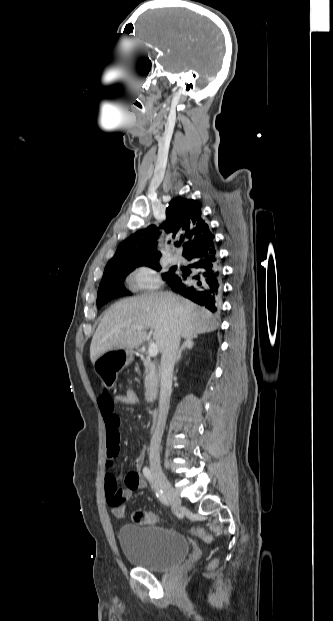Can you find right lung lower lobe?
<instances>
[{"label": "right lung lower lobe", "mask_w": 333, "mask_h": 621, "mask_svg": "<svg viewBox=\"0 0 333 621\" xmlns=\"http://www.w3.org/2000/svg\"><path fill=\"white\" fill-rule=\"evenodd\" d=\"M184 256L192 261L189 267L193 269L182 268V273L173 272L166 282L174 292L215 312L222 293V273L215 245Z\"/></svg>", "instance_id": "1"}]
</instances>
